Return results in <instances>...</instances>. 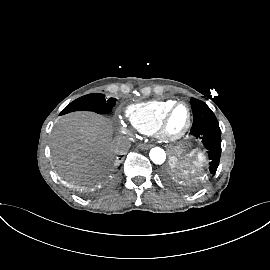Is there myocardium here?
Segmentation results:
<instances>
[{
  "label": "myocardium",
  "instance_id": "obj_1",
  "mask_svg": "<svg viewBox=\"0 0 270 270\" xmlns=\"http://www.w3.org/2000/svg\"><path fill=\"white\" fill-rule=\"evenodd\" d=\"M178 106H184L187 109L188 112V117H187V122L184 125V127L177 133H170L167 129V125H168V121L169 118L172 114V112L178 107ZM192 124V111L190 106L183 101H178L175 102L172 106H170L162 115L158 127H157V135L159 137V139H161L162 141L166 142V143H174L177 142L179 140H181L189 131L190 127Z\"/></svg>",
  "mask_w": 270,
  "mask_h": 270
}]
</instances>
